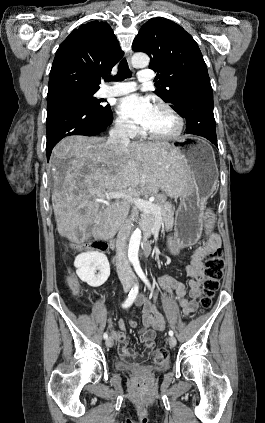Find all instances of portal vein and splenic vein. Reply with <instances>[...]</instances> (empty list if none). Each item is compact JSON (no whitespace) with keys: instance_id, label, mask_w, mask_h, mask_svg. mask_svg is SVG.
<instances>
[{"instance_id":"18ae733b","label":"portal vein and splenic vein","mask_w":265,"mask_h":423,"mask_svg":"<svg viewBox=\"0 0 265 423\" xmlns=\"http://www.w3.org/2000/svg\"><path fill=\"white\" fill-rule=\"evenodd\" d=\"M121 197L128 199L137 208H139L141 211H143L145 213H150V212L155 213L156 216L159 219V222L162 221V218H161V215H160L161 208L153 202L143 200L141 198H133V197L128 196L126 193H121V192H112V193H109L105 196L106 199L121 198ZM97 201L105 202L104 198H99V199H97Z\"/></svg>"}]
</instances>
